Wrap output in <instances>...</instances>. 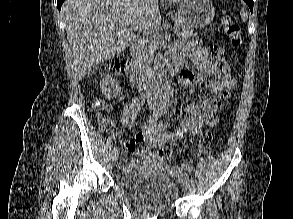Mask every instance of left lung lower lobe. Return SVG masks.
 <instances>
[{
  "label": "left lung lower lobe",
  "instance_id": "1",
  "mask_svg": "<svg viewBox=\"0 0 293 219\" xmlns=\"http://www.w3.org/2000/svg\"><path fill=\"white\" fill-rule=\"evenodd\" d=\"M244 1L248 4V6H249V8L251 10V13H252V11H253V0H244Z\"/></svg>",
  "mask_w": 293,
  "mask_h": 219
}]
</instances>
